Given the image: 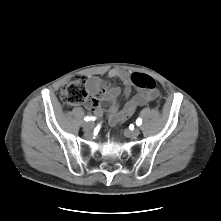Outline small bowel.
Listing matches in <instances>:
<instances>
[{
  "instance_id": "obj_1",
  "label": "small bowel",
  "mask_w": 221,
  "mask_h": 221,
  "mask_svg": "<svg viewBox=\"0 0 221 221\" xmlns=\"http://www.w3.org/2000/svg\"><path fill=\"white\" fill-rule=\"evenodd\" d=\"M135 74L146 75L138 72L129 73L114 68L109 71L108 76L111 79H119L124 84V96L129 97L132 88L135 85L133 82V76ZM84 80L88 91L92 95L88 107L93 110L97 116H101L103 112L107 111L108 121L111 125H115L128 119L134 114L138 106L145 105L158 97L157 90H142V88L139 87L140 91L138 94L130 98L122 108H119L116 103V98L121 92L119 87L110 86L106 81L99 77H87L84 78Z\"/></svg>"
}]
</instances>
